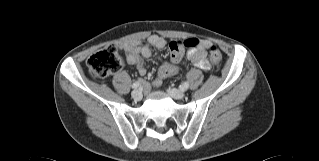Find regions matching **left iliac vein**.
Wrapping results in <instances>:
<instances>
[{"label": "left iliac vein", "instance_id": "4c4485c4", "mask_svg": "<svg viewBox=\"0 0 319 161\" xmlns=\"http://www.w3.org/2000/svg\"><path fill=\"white\" fill-rule=\"evenodd\" d=\"M168 93L174 98V99H182L185 96L184 91L178 90L175 88L168 89Z\"/></svg>", "mask_w": 319, "mask_h": 161}]
</instances>
